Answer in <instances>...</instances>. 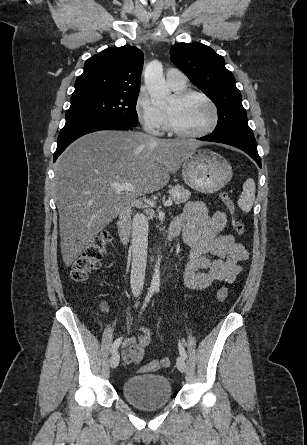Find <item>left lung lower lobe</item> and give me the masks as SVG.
I'll list each match as a JSON object with an SVG mask.
<instances>
[{
	"instance_id": "0a47b994",
	"label": "left lung lower lobe",
	"mask_w": 307,
	"mask_h": 445,
	"mask_svg": "<svg viewBox=\"0 0 307 445\" xmlns=\"http://www.w3.org/2000/svg\"><path fill=\"white\" fill-rule=\"evenodd\" d=\"M199 140L224 143L246 152L261 168V159L258 155L257 144L253 134L243 133H225V134H211L199 138Z\"/></svg>"
}]
</instances>
